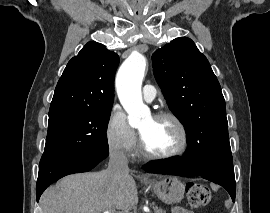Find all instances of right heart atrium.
<instances>
[{"label":"right heart atrium","instance_id":"right-heart-atrium-1","mask_svg":"<svg viewBox=\"0 0 270 213\" xmlns=\"http://www.w3.org/2000/svg\"><path fill=\"white\" fill-rule=\"evenodd\" d=\"M105 137L111 154L119 158H129L136 150L135 132L130 127L124 111L114 106L109 115Z\"/></svg>","mask_w":270,"mask_h":213}]
</instances>
